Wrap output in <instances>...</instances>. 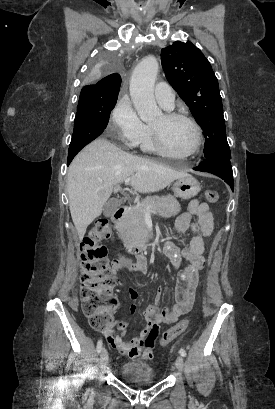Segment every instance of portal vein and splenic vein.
Here are the masks:
<instances>
[{
    "instance_id": "18ae733b",
    "label": "portal vein and splenic vein",
    "mask_w": 275,
    "mask_h": 409,
    "mask_svg": "<svg viewBox=\"0 0 275 409\" xmlns=\"http://www.w3.org/2000/svg\"><path fill=\"white\" fill-rule=\"evenodd\" d=\"M131 180V176H128V178H125V184H129ZM150 209H152L151 205H148V207H146V213H149Z\"/></svg>"
}]
</instances>
